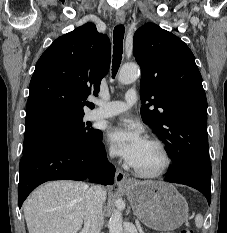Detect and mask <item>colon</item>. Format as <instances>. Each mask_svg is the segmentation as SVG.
<instances>
[{"label":"colon","mask_w":227,"mask_h":233,"mask_svg":"<svg viewBox=\"0 0 227 233\" xmlns=\"http://www.w3.org/2000/svg\"><path fill=\"white\" fill-rule=\"evenodd\" d=\"M180 233H194V231L192 229H184Z\"/></svg>","instance_id":"obj_1"}]
</instances>
